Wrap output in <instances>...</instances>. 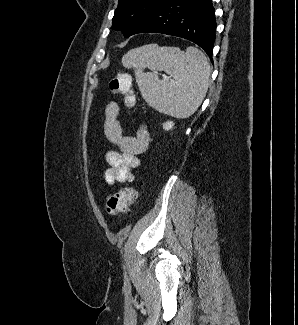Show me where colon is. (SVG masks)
Listing matches in <instances>:
<instances>
[{
    "label": "colon",
    "mask_w": 298,
    "mask_h": 325,
    "mask_svg": "<svg viewBox=\"0 0 298 325\" xmlns=\"http://www.w3.org/2000/svg\"><path fill=\"white\" fill-rule=\"evenodd\" d=\"M111 92L121 95L127 107L135 104V95L132 89L130 75L121 71L117 73L109 84ZM138 195L136 188L125 187L115 194L110 195L106 201V211L109 215L117 216L128 212L130 206L134 203Z\"/></svg>",
    "instance_id": "1"
}]
</instances>
